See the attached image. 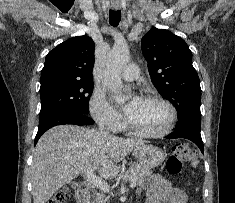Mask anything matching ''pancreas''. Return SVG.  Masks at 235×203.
<instances>
[{"label":"pancreas","instance_id":"1","mask_svg":"<svg viewBox=\"0 0 235 203\" xmlns=\"http://www.w3.org/2000/svg\"><path fill=\"white\" fill-rule=\"evenodd\" d=\"M152 174V171L141 165H133L131 166L125 174L121 175L119 178L123 180L134 181L136 184H142L144 179ZM107 198L101 193L97 194L94 198L93 203H106Z\"/></svg>","mask_w":235,"mask_h":203}]
</instances>
